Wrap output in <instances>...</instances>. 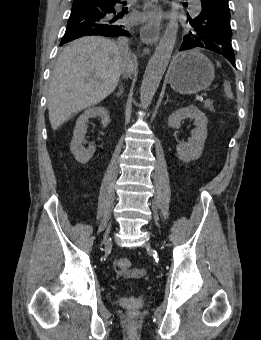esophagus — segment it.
<instances>
[{"label": "esophagus", "mask_w": 261, "mask_h": 340, "mask_svg": "<svg viewBox=\"0 0 261 340\" xmlns=\"http://www.w3.org/2000/svg\"><path fill=\"white\" fill-rule=\"evenodd\" d=\"M162 5L153 0L144 7V14L149 18L140 29L142 41L147 45H155L160 37V17L162 15Z\"/></svg>", "instance_id": "1"}]
</instances>
